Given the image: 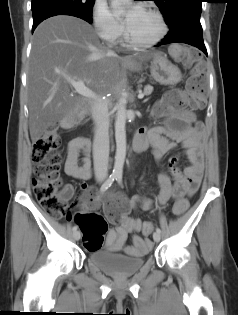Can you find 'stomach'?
Masks as SVG:
<instances>
[{
    "label": "stomach",
    "mask_w": 238,
    "mask_h": 315,
    "mask_svg": "<svg viewBox=\"0 0 238 315\" xmlns=\"http://www.w3.org/2000/svg\"><path fill=\"white\" fill-rule=\"evenodd\" d=\"M149 68L153 79L160 84L171 85L178 83L181 79L178 67L173 65L162 53L152 58Z\"/></svg>",
    "instance_id": "stomach-1"
}]
</instances>
